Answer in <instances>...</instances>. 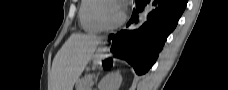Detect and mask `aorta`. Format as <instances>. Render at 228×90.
<instances>
[{
    "instance_id": "obj_1",
    "label": "aorta",
    "mask_w": 228,
    "mask_h": 90,
    "mask_svg": "<svg viewBox=\"0 0 228 90\" xmlns=\"http://www.w3.org/2000/svg\"><path fill=\"white\" fill-rule=\"evenodd\" d=\"M152 8L153 7H152V1H151L149 4L145 6L143 12L139 15V20H144L149 14V12L152 10ZM132 28H134V26Z\"/></svg>"
}]
</instances>
